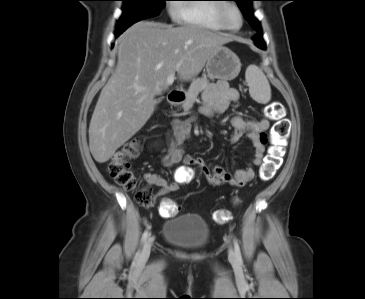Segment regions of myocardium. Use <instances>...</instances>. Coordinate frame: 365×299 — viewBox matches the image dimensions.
I'll list each match as a JSON object with an SVG mask.
<instances>
[{
    "mask_svg": "<svg viewBox=\"0 0 365 299\" xmlns=\"http://www.w3.org/2000/svg\"><path fill=\"white\" fill-rule=\"evenodd\" d=\"M229 8L235 9L239 15L240 23L237 27L228 26L225 22L226 12ZM216 17L220 27L228 32H237L242 28L244 24V15L241 8L235 2L232 1L221 3L220 6L218 7Z\"/></svg>",
    "mask_w": 365,
    "mask_h": 299,
    "instance_id": "myocardium-1",
    "label": "myocardium"
}]
</instances>
